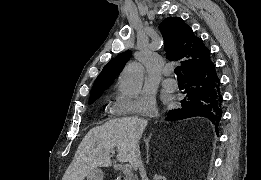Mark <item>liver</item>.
Masks as SVG:
<instances>
[{
    "label": "liver",
    "instance_id": "1",
    "mask_svg": "<svg viewBox=\"0 0 261 180\" xmlns=\"http://www.w3.org/2000/svg\"><path fill=\"white\" fill-rule=\"evenodd\" d=\"M145 126V120L140 118H114L89 130L70 164L68 180H84L93 168L111 166L115 150L119 162H130L136 170L139 140Z\"/></svg>",
    "mask_w": 261,
    "mask_h": 180
}]
</instances>
